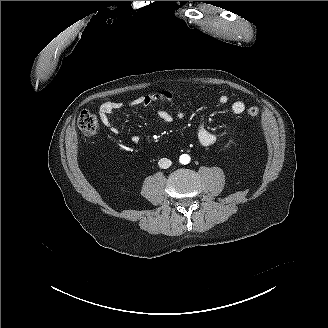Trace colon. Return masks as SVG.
I'll use <instances>...</instances> for the list:
<instances>
[{"label":"colon","mask_w":328,"mask_h":328,"mask_svg":"<svg viewBox=\"0 0 328 328\" xmlns=\"http://www.w3.org/2000/svg\"><path fill=\"white\" fill-rule=\"evenodd\" d=\"M247 114L250 117H256L259 114L258 107H249L247 110ZM77 124L81 133L86 137L94 135L98 128V120L96 116L88 111H82L80 113Z\"/></svg>","instance_id":"5ec220e1"}]
</instances>
